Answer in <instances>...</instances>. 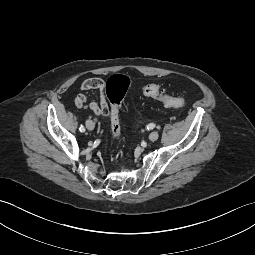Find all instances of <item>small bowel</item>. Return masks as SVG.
<instances>
[{"instance_id":"small-bowel-1","label":"small bowel","mask_w":255,"mask_h":255,"mask_svg":"<svg viewBox=\"0 0 255 255\" xmlns=\"http://www.w3.org/2000/svg\"><path fill=\"white\" fill-rule=\"evenodd\" d=\"M82 93L75 98V104L83 108L87 103V95L93 91H99V100L89 103L90 109L98 116H109L112 112V106L108 104L106 98V84L100 78H90L83 82L81 86Z\"/></svg>"}]
</instances>
